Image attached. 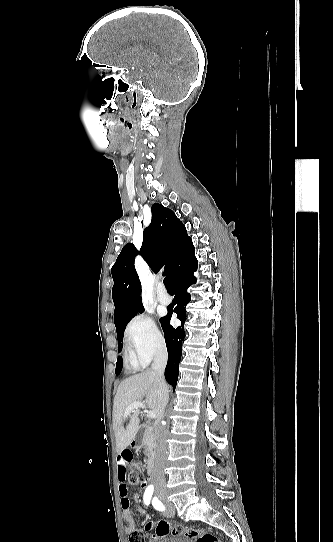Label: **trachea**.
Masks as SVG:
<instances>
[{"label":"trachea","instance_id":"trachea-1","mask_svg":"<svg viewBox=\"0 0 333 542\" xmlns=\"http://www.w3.org/2000/svg\"><path fill=\"white\" fill-rule=\"evenodd\" d=\"M164 285L167 289H173V286L169 277L164 278Z\"/></svg>","mask_w":333,"mask_h":542}]
</instances>
